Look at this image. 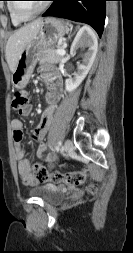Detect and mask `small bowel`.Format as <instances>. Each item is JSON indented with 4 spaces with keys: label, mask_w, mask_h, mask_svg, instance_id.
<instances>
[{
    "label": "small bowel",
    "mask_w": 133,
    "mask_h": 253,
    "mask_svg": "<svg viewBox=\"0 0 133 253\" xmlns=\"http://www.w3.org/2000/svg\"><path fill=\"white\" fill-rule=\"evenodd\" d=\"M41 78L48 86L46 93V101L48 103L47 109L43 112L41 120L34 130L33 137L40 141L37 149V156L44 160L48 167H54L58 161V157L54 153H46L48 145L43 139L46 137L50 125L52 123L53 114L57 108V103L61 98L62 94V83L56 73L51 69L50 66L44 65L40 67ZM32 112V106L27 105L20 114L27 117ZM11 128L13 131L15 156L17 160V168L19 176L22 182L26 185H35L39 183L35 177L34 172L30 166L29 161L25 158V151L22 147L23 139V123L20 119H13L11 121Z\"/></svg>",
    "instance_id": "1"
}]
</instances>
